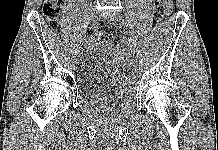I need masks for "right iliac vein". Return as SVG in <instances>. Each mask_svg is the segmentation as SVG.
Returning a JSON list of instances; mask_svg holds the SVG:
<instances>
[{
  "instance_id": "1",
  "label": "right iliac vein",
  "mask_w": 218,
  "mask_h": 150,
  "mask_svg": "<svg viewBox=\"0 0 218 150\" xmlns=\"http://www.w3.org/2000/svg\"><path fill=\"white\" fill-rule=\"evenodd\" d=\"M90 19H91L92 24L96 23L98 21V15L96 13H94V14H92ZM87 45L88 44L85 42L84 44L81 45V48L85 49Z\"/></svg>"
}]
</instances>
